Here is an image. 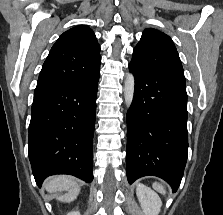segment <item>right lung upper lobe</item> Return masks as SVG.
Here are the masks:
<instances>
[{"label":"right lung upper lobe","mask_w":223,"mask_h":215,"mask_svg":"<svg viewBox=\"0 0 223 215\" xmlns=\"http://www.w3.org/2000/svg\"><path fill=\"white\" fill-rule=\"evenodd\" d=\"M100 46L94 32L80 25L64 32L43 64L34 94L65 87L100 68Z\"/></svg>","instance_id":"right-lung-upper-lobe-1"}]
</instances>
